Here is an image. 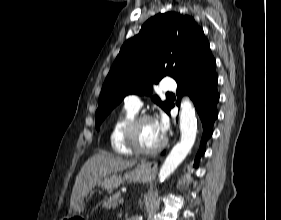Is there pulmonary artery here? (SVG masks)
I'll list each match as a JSON object with an SVG mask.
<instances>
[{"label": "pulmonary artery", "mask_w": 281, "mask_h": 220, "mask_svg": "<svg viewBox=\"0 0 281 220\" xmlns=\"http://www.w3.org/2000/svg\"><path fill=\"white\" fill-rule=\"evenodd\" d=\"M161 89L163 91H174L176 89V83L172 79H164L161 82ZM125 105L136 111H139L142 106V102L139 96L129 95L125 98Z\"/></svg>", "instance_id": "pulmonary-artery-1"}]
</instances>
